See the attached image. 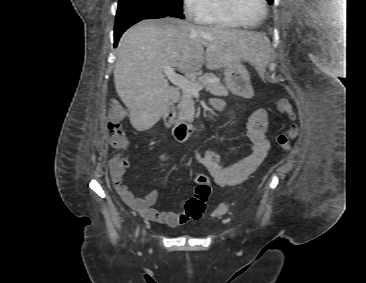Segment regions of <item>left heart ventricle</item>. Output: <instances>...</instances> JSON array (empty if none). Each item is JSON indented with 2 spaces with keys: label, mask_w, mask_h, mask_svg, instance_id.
I'll use <instances>...</instances> for the list:
<instances>
[{
  "label": "left heart ventricle",
  "mask_w": 366,
  "mask_h": 283,
  "mask_svg": "<svg viewBox=\"0 0 366 283\" xmlns=\"http://www.w3.org/2000/svg\"><path fill=\"white\" fill-rule=\"evenodd\" d=\"M237 10L246 23L252 24L262 15L263 7L261 0H238Z\"/></svg>",
  "instance_id": "b2bd125f"
}]
</instances>
